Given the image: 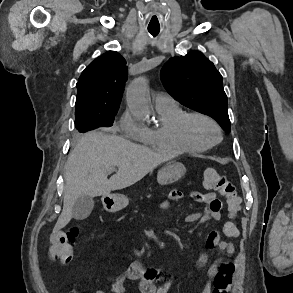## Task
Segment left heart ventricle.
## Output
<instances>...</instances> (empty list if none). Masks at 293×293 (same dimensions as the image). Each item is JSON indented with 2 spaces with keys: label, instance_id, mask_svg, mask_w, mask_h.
<instances>
[{
  "label": "left heart ventricle",
  "instance_id": "left-heart-ventricle-1",
  "mask_svg": "<svg viewBox=\"0 0 293 293\" xmlns=\"http://www.w3.org/2000/svg\"><path fill=\"white\" fill-rule=\"evenodd\" d=\"M191 139L198 144H207L217 139L215 128L203 119H193L189 126Z\"/></svg>",
  "mask_w": 293,
  "mask_h": 293
}]
</instances>
